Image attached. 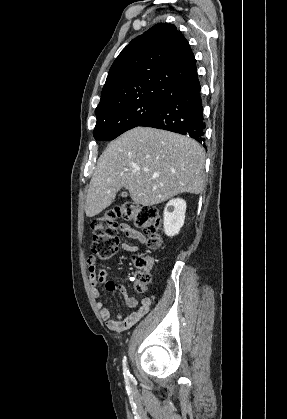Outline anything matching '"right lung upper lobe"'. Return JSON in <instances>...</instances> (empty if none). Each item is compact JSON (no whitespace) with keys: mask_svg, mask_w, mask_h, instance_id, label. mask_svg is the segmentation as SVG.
<instances>
[{"mask_svg":"<svg viewBox=\"0 0 287 419\" xmlns=\"http://www.w3.org/2000/svg\"><path fill=\"white\" fill-rule=\"evenodd\" d=\"M199 86L187 40L173 24L159 23L133 39L116 58L95 114L134 101L166 102Z\"/></svg>","mask_w":287,"mask_h":419,"instance_id":"right-lung-upper-lobe-1","label":"right lung upper lobe"}]
</instances>
